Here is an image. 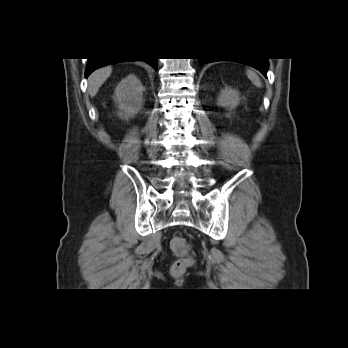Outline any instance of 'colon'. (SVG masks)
<instances>
[{"mask_svg": "<svg viewBox=\"0 0 348 348\" xmlns=\"http://www.w3.org/2000/svg\"><path fill=\"white\" fill-rule=\"evenodd\" d=\"M170 248L174 255L177 256V260L172 265V274L176 276L181 275L192 264V259L189 255V245L184 238L173 237L170 241Z\"/></svg>", "mask_w": 348, "mask_h": 348, "instance_id": "obj_1", "label": "colon"}]
</instances>
